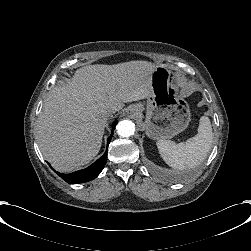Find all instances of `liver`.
Here are the masks:
<instances>
[{
	"label": "liver",
	"instance_id": "6515ba94",
	"mask_svg": "<svg viewBox=\"0 0 251 251\" xmlns=\"http://www.w3.org/2000/svg\"><path fill=\"white\" fill-rule=\"evenodd\" d=\"M154 70L155 65L147 61L95 64L59 82L38 118L43 157L62 173L88 164L100 150L113 111L152 95Z\"/></svg>",
	"mask_w": 251,
	"mask_h": 251
}]
</instances>
